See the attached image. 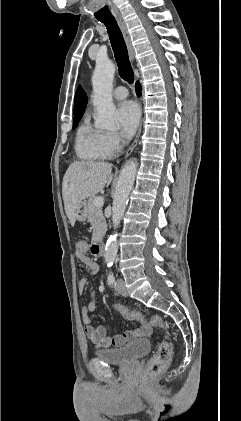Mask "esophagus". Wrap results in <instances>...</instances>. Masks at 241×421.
Segmentation results:
<instances>
[{
	"label": "esophagus",
	"instance_id": "esophagus-1",
	"mask_svg": "<svg viewBox=\"0 0 241 421\" xmlns=\"http://www.w3.org/2000/svg\"><path fill=\"white\" fill-rule=\"evenodd\" d=\"M116 21H117L118 26H119L122 34H123L124 39H125V42H126V45H127V48H128L129 58H130L131 61H134V50H133V47H132V44H131V39H130V35H129V32H128L126 23L123 20V18L120 17V16H118L116 18ZM140 134H141V125L138 129L137 135H136L132 145L130 146V148L126 152L125 157H128L132 153L134 148L136 147V145L138 143V140H139V137H140Z\"/></svg>",
	"mask_w": 241,
	"mask_h": 421
}]
</instances>
